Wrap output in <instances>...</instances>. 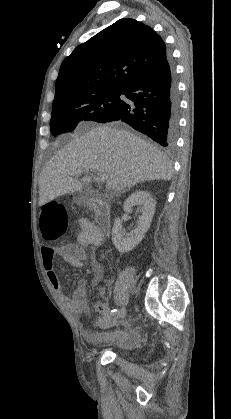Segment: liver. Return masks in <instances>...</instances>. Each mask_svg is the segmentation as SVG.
<instances>
[{
  "instance_id": "obj_1",
  "label": "liver",
  "mask_w": 231,
  "mask_h": 419,
  "mask_svg": "<svg viewBox=\"0 0 231 419\" xmlns=\"http://www.w3.org/2000/svg\"><path fill=\"white\" fill-rule=\"evenodd\" d=\"M78 170L86 174L81 180L72 177ZM89 171L105 174L106 188L117 192L172 177L168 158L156 146L128 130L100 125L73 139L46 164L39 178V205L81 191L91 182Z\"/></svg>"
}]
</instances>
